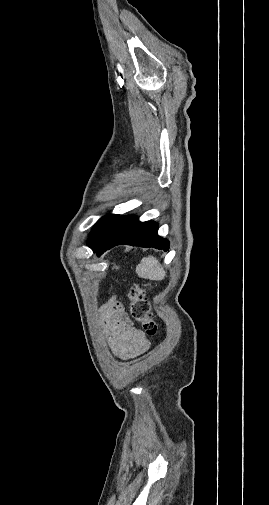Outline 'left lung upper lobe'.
Instances as JSON below:
<instances>
[{"label":"left lung upper lobe","mask_w":269,"mask_h":505,"mask_svg":"<svg viewBox=\"0 0 269 505\" xmlns=\"http://www.w3.org/2000/svg\"><path fill=\"white\" fill-rule=\"evenodd\" d=\"M118 215L109 214L102 217L94 226L90 236L88 238V246H93L100 242L104 236L108 233L110 228L113 226L117 220Z\"/></svg>","instance_id":"1"}]
</instances>
